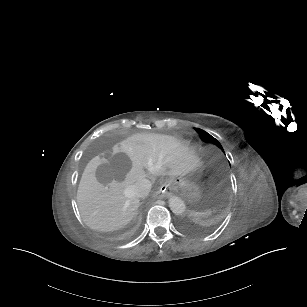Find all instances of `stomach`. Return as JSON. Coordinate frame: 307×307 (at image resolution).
I'll return each mask as SVG.
<instances>
[{
    "mask_svg": "<svg viewBox=\"0 0 307 307\" xmlns=\"http://www.w3.org/2000/svg\"><path fill=\"white\" fill-rule=\"evenodd\" d=\"M198 176L199 169L196 168L187 174L171 177L169 179V185L172 189L181 191L184 194L191 193L197 187L196 181Z\"/></svg>",
    "mask_w": 307,
    "mask_h": 307,
    "instance_id": "1",
    "label": "stomach"
}]
</instances>
